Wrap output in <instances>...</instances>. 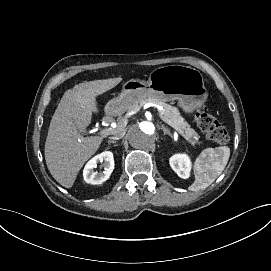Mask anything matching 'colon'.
I'll return each instance as SVG.
<instances>
[{
	"label": "colon",
	"mask_w": 271,
	"mask_h": 271,
	"mask_svg": "<svg viewBox=\"0 0 271 271\" xmlns=\"http://www.w3.org/2000/svg\"><path fill=\"white\" fill-rule=\"evenodd\" d=\"M194 120L198 127L205 133L207 139L218 144L228 143L229 134L226 127L209 114L204 105L195 110Z\"/></svg>",
	"instance_id": "5ec220e1"
}]
</instances>
